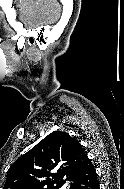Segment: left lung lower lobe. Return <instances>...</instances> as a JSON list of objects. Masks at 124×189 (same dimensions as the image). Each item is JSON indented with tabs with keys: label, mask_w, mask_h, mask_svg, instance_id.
Returning <instances> with one entry per match:
<instances>
[{
	"label": "left lung lower lobe",
	"mask_w": 124,
	"mask_h": 189,
	"mask_svg": "<svg viewBox=\"0 0 124 189\" xmlns=\"http://www.w3.org/2000/svg\"><path fill=\"white\" fill-rule=\"evenodd\" d=\"M71 189H99L95 167L90 159L85 162L82 170L71 178Z\"/></svg>",
	"instance_id": "0a47b994"
}]
</instances>
